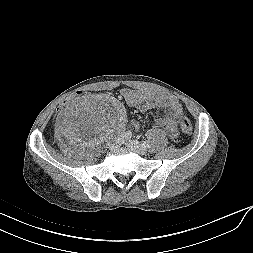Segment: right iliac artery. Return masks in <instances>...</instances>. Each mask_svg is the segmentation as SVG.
<instances>
[{
    "label": "right iliac artery",
    "instance_id": "1",
    "mask_svg": "<svg viewBox=\"0 0 253 253\" xmlns=\"http://www.w3.org/2000/svg\"><path fill=\"white\" fill-rule=\"evenodd\" d=\"M123 137V139H130L132 137V133L130 131H126L125 133H123L121 135Z\"/></svg>",
    "mask_w": 253,
    "mask_h": 253
}]
</instances>
